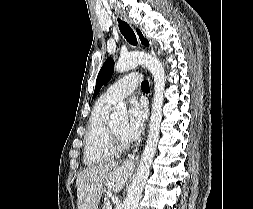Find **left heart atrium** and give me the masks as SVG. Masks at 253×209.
I'll return each instance as SVG.
<instances>
[{
    "instance_id": "obj_1",
    "label": "left heart atrium",
    "mask_w": 253,
    "mask_h": 209,
    "mask_svg": "<svg viewBox=\"0 0 253 209\" xmlns=\"http://www.w3.org/2000/svg\"><path fill=\"white\" fill-rule=\"evenodd\" d=\"M145 105L133 100L129 108L128 122L123 131V138L126 142H133L142 134L146 120Z\"/></svg>"
}]
</instances>
